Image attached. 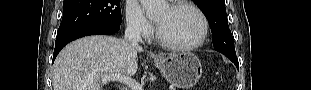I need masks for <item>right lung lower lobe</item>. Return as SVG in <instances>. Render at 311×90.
Instances as JSON below:
<instances>
[{"instance_id":"1","label":"right lung lower lobe","mask_w":311,"mask_h":90,"mask_svg":"<svg viewBox=\"0 0 311 90\" xmlns=\"http://www.w3.org/2000/svg\"><path fill=\"white\" fill-rule=\"evenodd\" d=\"M120 29V26H99V25H90L80 27L69 32L57 35L55 41V50L53 54V61L60 52V50L69 42L84 37L88 35H110L117 32Z\"/></svg>"}]
</instances>
